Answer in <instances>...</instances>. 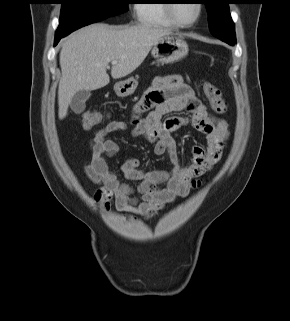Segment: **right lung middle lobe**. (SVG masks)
<instances>
[{
  "instance_id": "obj_1",
  "label": "right lung middle lobe",
  "mask_w": 290,
  "mask_h": 321,
  "mask_svg": "<svg viewBox=\"0 0 290 321\" xmlns=\"http://www.w3.org/2000/svg\"><path fill=\"white\" fill-rule=\"evenodd\" d=\"M62 8L56 36L121 14L128 10L127 0H61Z\"/></svg>"
}]
</instances>
